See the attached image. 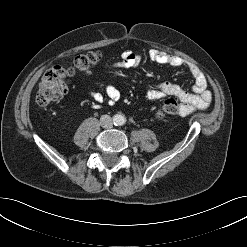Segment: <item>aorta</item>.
Masks as SVG:
<instances>
[{
	"mask_svg": "<svg viewBox=\"0 0 247 247\" xmlns=\"http://www.w3.org/2000/svg\"><path fill=\"white\" fill-rule=\"evenodd\" d=\"M114 121L118 125H123L126 122V118L124 117V115L117 114L114 118Z\"/></svg>",
	"mask_w": 247,
	"mask_h": 247,
	"instance_id": "obj_1",
	"label": "aorta"
}]
</instances>
